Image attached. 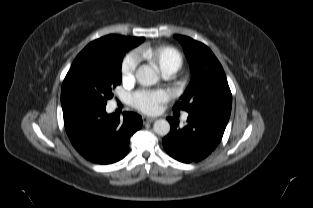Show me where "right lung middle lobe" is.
I'll list each match as a JSON object with an SVG mask.
<instances>
[{
	"label": "right lung middle lobe",
	"mask_w": 313,
	"mask_h": 208,
	"mask_svg": "<svg viewBox=\"0 0 313 208\" xmlns=\"http://www.w3.org/2000/svg\"><path fill=\"white\" fill-rule=\"evenodd\" d=\"M132 47L122 42L106 45L101 55L72 64L61 89L63 96H79L106 105L112 90L121 83L124 54Z\"/></svg>",
	"instance_id": "right-lung-middle-lobe-1"
}]
</instances>
